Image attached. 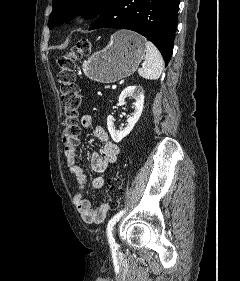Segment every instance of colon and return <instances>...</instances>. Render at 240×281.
Returning a JSON list of instances; mask_svg holds the SVG:
<instances>
[{
	"instance_id": "obj_1",
	"label": "colon",
	"mask_w": 240,
	"mask_h": 281,
	"mask_svg": "<svg viewBox=\"0 0 240 281\" xmlns=\"http://www.w3.org/2000/svg\"><path fill=\"white\" fill-rule=\"evenodd\" d=\"M90 49V42L83 39L73 46L67 54L58 59V80L65 114L63 134L65 153H76L80 133L78 116L81 106V94L76 81V61L88 54ZM107 194L109 209H117L123 196V183L119 176H114L108 180Z\"/></svg>"
}]
</instances>
